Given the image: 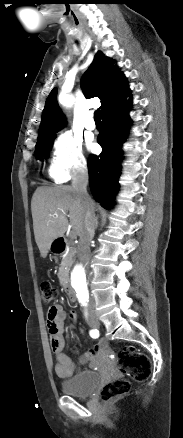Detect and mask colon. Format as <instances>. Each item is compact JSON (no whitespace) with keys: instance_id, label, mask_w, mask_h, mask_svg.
I'll return each instance as SVG.
<instances>
[{"instance_id":"obj_1","label":"colon","mask_w":183,"mask_h":438,"mask_svg":"<svg viewBox=\"0 0 183 438\" xmlns=\"http://www.w3.org/2000/svg\"><path fill=\"white\" fill-rule=\"evenodd\" d=\"M42 302L50 304L55 299L56 289L50 282H42L40 285ZM117 369L136 381H145L151 373V362L147 355L141 353L133 346H125L118 354L116 361ZM130 382L127 379H116L104 385L100 390V398L105 401H113L130 390Z\"/></svg>"}]
</instances>
